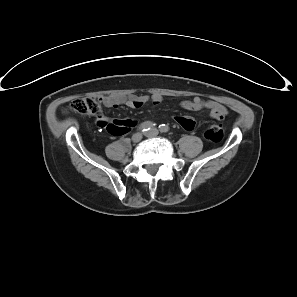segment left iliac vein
I'll list each match as a JSON object with an SVG mask.
<instances>
[{"label": "left iliac vein", "mask_w": 297, "mask_h": 297, "mask_svg": "<svg viewBox=\"0 0 297 297\" xmlns=\"http://www.w3.org/2000/svg\"><path fill=\"white\" fill-rule=\"evenodd\" d=\"M156 133H157V130H156V129H152V130L146 132L144 135H145L146 137H153V136L156 135Z\"/></svg>", "instance_id": "4c4485c4"}]
</instances>
